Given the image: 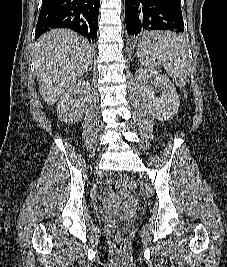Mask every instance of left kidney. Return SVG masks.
I'll list each match as a JSON object with an SVG mask.
<instances>
[{"label":"left kidney","mask_w":227,"mask_h":267,"mask_svg":"<svg viewBox=\"0 0 227 267\" xmlns=\"http://www.w3.org/2000/svg\"><path fill=\"white\" fill-rule=\"evenodd\" d=\"M137 90L149 113L157 120L174 116L180 105L179 96L171 80L153 69H139L135 73ZM157 90L160 96H157Z\"/></svg>","instance_id":"obj_1"}]
</instances>
